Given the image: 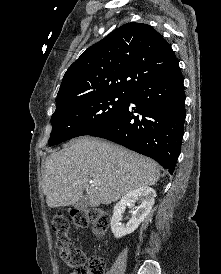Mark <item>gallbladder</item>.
Listing matches in <instances>:
<instances>
[{"label":"gallbladder","mask_w":221,"mask_h":274,"mask_svg":"<svg viewBox=\"0 0 221 274\" xmlns=\"http://www.w3.org/2000/svg\"><path fill=\"white\" fill-rule=\"evenodd\" d=\"M74 208L78 210L85 209L89 206V198L87 194H83L82 197L74 203Z\"/></svg>","instance_id":"1"}]
</instances>
